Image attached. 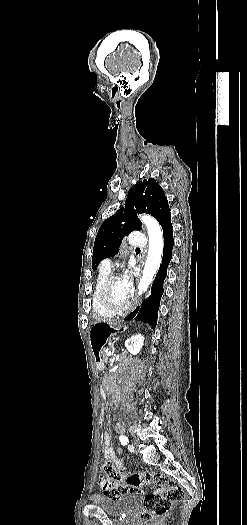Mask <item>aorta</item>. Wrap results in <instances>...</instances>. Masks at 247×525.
<instances>
[{"mask_svg":"<svg viewBox=\"0 0 247 525\" xmlns=\"http://www.w3.org/2000/svg\"><path fill=\"white\" fill-rule=\"evenodd\" d=\"M140 219L146 226L149 237L148 256L142 277L138 284L139 294H142L147 291L160 267L164 248V237L161 226L153 217L142 215Z\"/></svg>","mask_w":247,"mask_h":525,"instance_id":"obj_1","label":"aorta"}]
</instances>
